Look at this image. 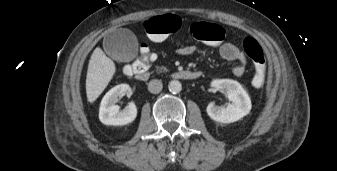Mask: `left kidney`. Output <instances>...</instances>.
I'll use <instances>...</instances> for the list:
<instances>
[{"label": "left kidney", "instance_id": "1", "mask_svg": "<svg viewBox=\"0 0 337 171\" xmlns=\"http://www.w3.org/2000/svg\"><path fill=\"white\" fill-rule=\"evenodd\" d=\"M211 86L224 91L229 99L226 107L216 106L211 102L207 106V114L211 119L221 123H232L249 114L252 104L249 95L241 84L231 79H216Z\"/></svg>", "mask_w": 337, "mask_h": 171}]
</instances>
